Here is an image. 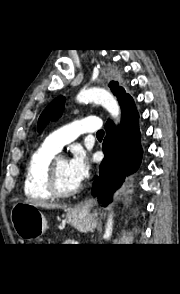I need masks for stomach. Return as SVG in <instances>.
<instances>
[{"mask_svg":"<svg viewBox=\"0 0 180 294\" xmlns=\"http://www.w3.org/2000/svg\"><path fill=\"white\" fill-rule=\"evenodd\" d=\"M67 220L76 229L87 232L95 228L96 219L86 209L70 208ZM11 222L20 239L32 241L40 238L47 229L44 215L32 204L17 202L11 210Z\"/></svg>","mask_w":180,"mask_h":294,"instance_id":"obj_1","label":"stomach"}]
</instances>
